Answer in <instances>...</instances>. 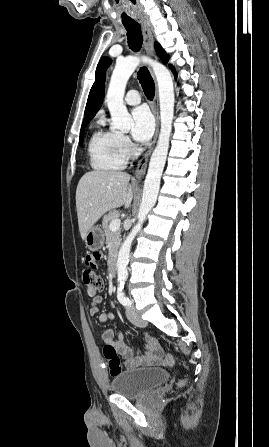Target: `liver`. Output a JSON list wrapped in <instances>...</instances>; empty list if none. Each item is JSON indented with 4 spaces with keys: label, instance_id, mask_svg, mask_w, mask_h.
Masks as SVG:
<instances>
[{
    "label": "liver",
    "instance_id": "1",
    "mask_svg": "<svg viewBox=\"0 0 269 447\" xmlns=\"http://www.w3.org/2000/svg\"><path fill=\"white\" fill-rule=\"evenodd\" d=\"M130 176L125 172H87L82 176L76 190V208L79 231L82 239L99 218L125 206L133 200Z\"/></svg>",
    "mask_w": 269,
    "mask_h": 447
}]
</instances>
